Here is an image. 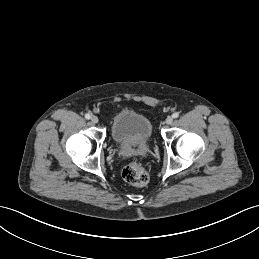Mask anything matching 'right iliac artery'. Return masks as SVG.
Wrapping results in <instances>:
<instances>
[{
	"instance_id": "1",
	"label": "right iliac artery",
	"mask_w": 259,
	"mask_h": 259,
	"mask_svg": "<svg viewBox=\"0 0 259 259\" xmlns=\"http://www.w3.org/2000/svg\"><path fill=\"white\" fill-rule=\"evenodd\" d=\"M85 118H86V119H90V118H91V115L87 113V114H85Z\"/></svg>"
}]
</instances>
